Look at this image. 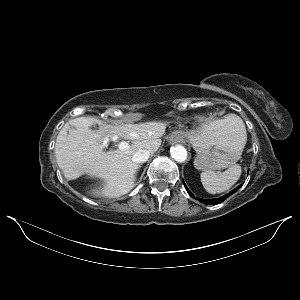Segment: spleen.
<instances>
[{
  "label": "spleen",
  "mask_w": 300,
  "mask_h": 300,
  "mask_svg": "<svg viewBox=\"0 0 300 300\" xmlns=\"http://www.w3.org/2000/svg\"><path fill=\"white\" fill-rule=\"evenodd\" d=\"M226 120H232L238 132L243 135V144H246L247 133L243 120L234 114H229L225 117ZM241 166L236 164L224 172L215 173L213 171L202 172L201 182L208 193H222L230 189L240 178Z\"/></svg>",
  "instance_id": "1"
}]
</instances>
